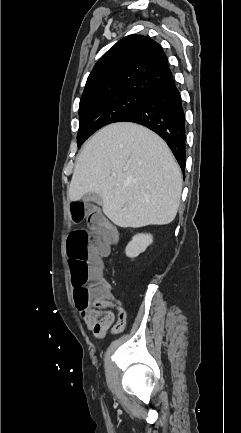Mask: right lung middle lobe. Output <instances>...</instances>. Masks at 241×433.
Instances as JSON below:
<instances>
[{"label": "right lung middle lobe", "mask_w": 241, "mask_h": 433, "mask_svg": "<svg viewBox=\"0 0 241 433\" xmlns=\"http://www.w3.org/2000/svg\"><path fill=\"white\" fill-rule=\"evenodd\" d=\"M146 93L126 91L80 103L78 146L101 127L122 121L145 100Z\"/></svg>", "instance_id": "dd1d6c3e"}]
</instances>
